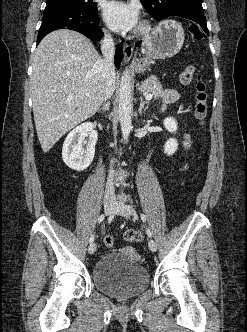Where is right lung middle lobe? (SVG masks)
Instances as JSON below:
<instances>
[{"instance_id":"dd1d6c3e","label":"right lung middle lobe","mask_w":247,"mask_h":332,"mask_svg":"<svg viewBox=\"0 0 247 332\" xmlns=\"http://www.w3.org/2000/svg\"><path fill=\"white\" fill-rule=\"evenodd\" d=\"M60 7L77 8L87 12H96L98 10L92 0H46L45 9Z\"/></svg>"}]
</instances>
